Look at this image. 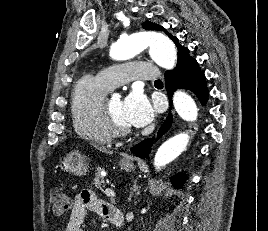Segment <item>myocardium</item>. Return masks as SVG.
Masks as SVG:
<instances>
[{"label":"myocardium","mask_w":268,"mask_h":231,"mask_svg":"<svg viewBox=\"0 0 268 231\" xmlns=\"http://www.w3.org/2000/svg\"><path fill=\"white\" fill-rule=\"evenodd\" d=\"M104 114L107 121L108 128L112 132L114 136H130L134 133V130L132 128H126L123 127L115 118V116L112 113L109 101L104 102Z\"/></svg>","instance_id":"myocardium-1"}]
</instances>
